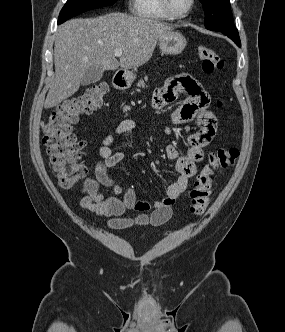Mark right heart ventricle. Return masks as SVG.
<instances>
[{
  "instance_id": "1",
  "label": "right heart ventricle",
  "mask_w": 285,
  "mask_h": 332,
  "mask_svg": "<svg viewBox=\"0 0 285 332\" xmlns=\"http://www.w3.org/2000/svg\"><path fill=\"white\" fill-rule=\"evenodd\" d=\"M132 13L143 19L169 21L172 18L164 11L160 0H131Z\"/></svg>"
}]
</instances>
